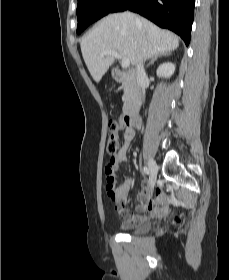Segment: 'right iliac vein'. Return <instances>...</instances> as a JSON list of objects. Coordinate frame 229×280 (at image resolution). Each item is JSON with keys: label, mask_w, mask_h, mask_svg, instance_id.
Here are the masks:
<instances>
[{"label": "right iliac vein", "mask_w": 229, "mask_h": 280, "mask_svg": "<svg viewBox=\"0 0 229 280\" xmlns=\"http://www.w3.org/2000/svg\"><path fill=\"white\" fill-rule=\"evenodd\" d=\"M148 167L150 170V186L154 187L157 179L158 166L153 159H150L148 162Z\"/></svg>", "instance_id": "63e3f726"}]
</instances>
